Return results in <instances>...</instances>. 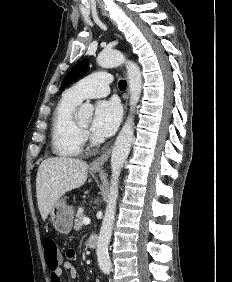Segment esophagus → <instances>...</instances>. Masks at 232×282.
<instances>
[{"mask_svg":"<svg viewBox=\"0 0 232 282\" xmlns=\"http://www.w3.org/2000/svg\"><path fill=\"white\" fill-rule=\"evenodd\" d=\"M128 96H129V89L127 90V93L125 95V109H127ZM110 153H111V148H108L101 156L96 158L91 163V168L93 169L101 168L103 164L108 160Z\"/></svg>","mask_w":232,"mask_h":282,"instance_id":"1","label":"esophagus"}]
</instances>
